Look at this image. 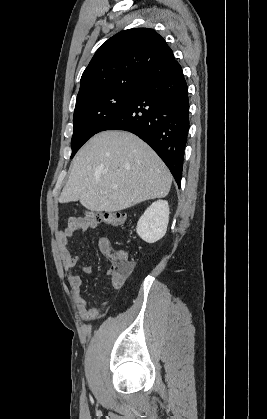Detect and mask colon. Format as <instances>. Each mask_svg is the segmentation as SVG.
Wrapping results in <instances>:
<instances>
[{
    "instance_id": "obj_1",
    "label": "colon",
    "mask_w": 267,
    "mask_h": 419,
    "mask_svg": "<svg viewBox=\"0 0 267 419\" xmlns=\"http://www.w3.org/2000/svg\"><path fill=\"white\" fill-rule=\"evenodd\" d=\"M90 218L108 226H122L126 222V215L121 212H97L92 213ZM111 259L112 265L109 270L111 275L126 277L130 274L133 269V262L129 259V256L125 251H115Z\"/></svg>"
}]
</instances>
